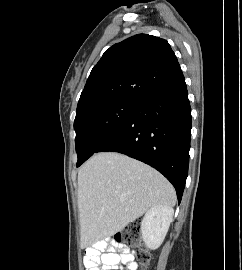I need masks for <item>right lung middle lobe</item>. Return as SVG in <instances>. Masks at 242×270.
I'll return each mask as SVG.
<instances>
[{"label":"right lung middle lobe","mask_w":242,"mask_h":270,"mask_svg":"<svg viewBox=\"0 0 242 270\" xmlns=\"http://www.w3.org/2000/svg\"><path fill=\"white\" fill-rule=\"evenodd\" d=\"M136 101L117 100L76 115L77 163L86 161L121 126Z\"/></svg>","instance_id":"obj_1"}]
</instances>
